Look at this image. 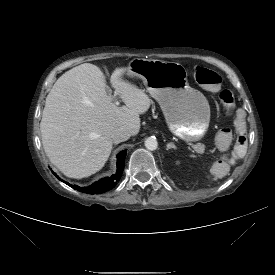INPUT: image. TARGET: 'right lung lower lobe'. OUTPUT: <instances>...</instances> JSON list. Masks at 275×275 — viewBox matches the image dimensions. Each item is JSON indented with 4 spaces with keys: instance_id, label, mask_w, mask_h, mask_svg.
Masks as SVG:
<instances>
[{
    "instance_id": "right-lung-lower-lobe-1",
    "label": "right lung lower lobe",
    "mask_w": 275,
    "mask_h": 275,
    "mask_svg": "<svg viewBox=\"0 0 275 275\" xmlns=\"http://www.w3.org/2000/svg\"><path fill=\"white\" fill-rule=\"evenodd\" d=\"M125 157H126V150H124L118 154V156H117V158H118L117 159V173L115 175H112L111 177H106L104 179H101L89 187H79L77 185L72 186L69 183H66V184L70 185L71 187H73L74 189H76L80 192H84L87 194L104 193V192L114 188L116 186L117 182L119 181V179L121 178V175H122L123 169H124ZM53 174L55 175L54 172H53ZM56 177L58 178L57 175H56Z\"/></svg>"
}]
</instances>
